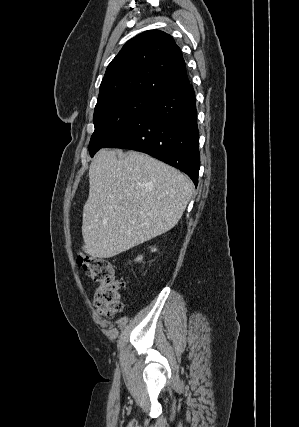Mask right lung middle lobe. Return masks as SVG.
Wrapping results in <instances>:
<instances>
[{
    "instance_id": "right-lung-middle-lobe-1",
    "label": "right lung middle lobe",
    "mask_w": 299,
    "mask_h": 427,
    "mask_svg": "<svg viewBox=\"0 0 299 427\" xmlns=\"http://www.w3.org/2000/svg\"><path fill=\"white\" fill-rule=\"evenodd\" d=\"M154 101L135 94H119L98 101L94 111V133L89 143L93 156L125 131Z\"/></svg>"
}]
</instances>
